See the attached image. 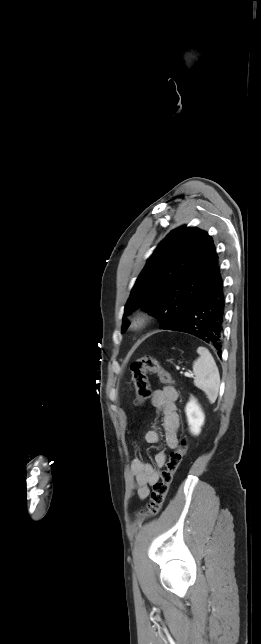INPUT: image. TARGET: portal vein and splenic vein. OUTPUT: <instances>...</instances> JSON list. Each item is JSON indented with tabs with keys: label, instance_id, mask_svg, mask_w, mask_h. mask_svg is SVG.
<instances>
[{
	"label": "portal vein and splenic vein",
	"instance_id": "1",
	"mask_svg": "<svg viewBox=\"0 0 261 644\" xmlns=\"http://www.w3.org/2000/svg\"><path fill=\"white\" fill-rule=\"evenodd\" d=\"M184 376H185V377H192V376H193V374L188 373V372H185V373H184Z\"/></svg>",
	"mask_w": 261,
	"mask_h": 644
}]
</instances>
